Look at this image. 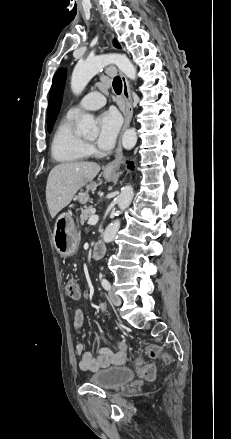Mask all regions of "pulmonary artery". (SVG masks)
<instances>
[{
    "label": "pulmonary artery",
    "mask_w": 231,
    "mask_h": 439,
    "mask_svg": "<svg viewBox=\"0 0 231 439\" xmlns=\"http://www.w3.org/2000/svg\"><path fill=\"white\" fill-rule=\"evenodd\" d=\"M106 103L105 96L100 91H91L85 95L76 106L71 107L67 115L77 117L84 110H97Z\"/></svg>",
    "instance_id": "obj_1"
}]
</instances>
